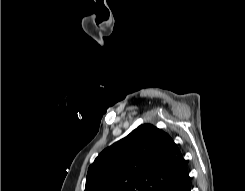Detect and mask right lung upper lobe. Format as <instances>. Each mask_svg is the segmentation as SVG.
<instances>
[{"instance_id":"right-lung-upper-lobe-1","label":"right lung upper lobe","mask_w":245,"mask_h":191,"mask_svg":"<svg viewBox=\"0 0 245 191\" xmlns=\"http://www.w3.org/2000/svg\"><path fill=\"white\" fill-rule=\"evenodd\" d=\"M187 173L172 138L143 124L99 154L89 167L84 191H161Z\"/></svg>"}]
</instances>
